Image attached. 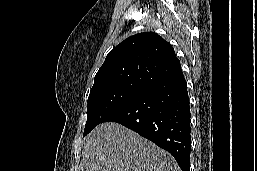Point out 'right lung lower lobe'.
Masks as SVG:
<instances>
[{
  "label": "right lung lower lobe",
  "instance_id": "right-lung-lower-lobe-1",
  "mask_svg": "<svg viewBox=\"0 0 257 171\" xmlns=\"http://www.w3.org/2000/svg\"><path fill=\"white\" fill-rule=\"evenodd\" d=\"M190 106L182 70L144 89L104 122H118L167 150L190 171Z\"/></svg>",
  "mask_w": 257,
  "mask_h": 171
}]
</instances>
